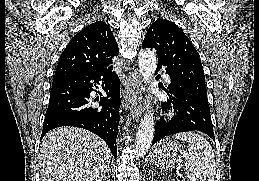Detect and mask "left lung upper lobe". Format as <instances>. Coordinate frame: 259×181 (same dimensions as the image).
<instances>
[{"label":"left lung upper lobe","mask_w":259,"mask_h":181,"mask_svg":"<svg viewBox=\"0 0 259 181\" xmlns=\"http://www.w3.org/2000/svg\"><path fill=\"white\" fill-rule=\"evenodd\" d=\"M142 46L156 49L158 62L166 67L172 82L208 104L200 58L189 38L176 24L158 19L148 29Z\"/></svg>","instance_id":"obj_1"}]
</instances>
